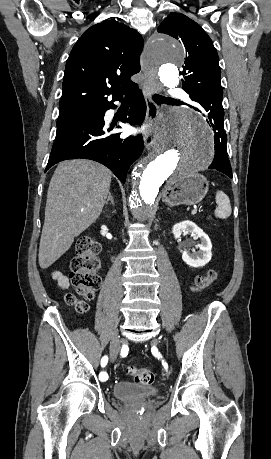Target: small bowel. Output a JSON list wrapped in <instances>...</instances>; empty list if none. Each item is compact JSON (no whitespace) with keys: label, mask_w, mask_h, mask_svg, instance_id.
Instances as JSON below:
<instances>
[{"label":"small bowel","mask_w":271,"mask_h":459,"mask_svg":"<svg viewBox=\"0 0 271 459\" xmlns=\"http://www.w3.org/2000/svg\"><path fill=\"white\" fill-rule=\"evenodd\" d=\"M53 278L57 281V283L62 287V288H68L69 286V281L66 276H64L61 272L55 271L53 273Z\"/></svg>","instance_id":"c3829d8e"}]
</instances>
